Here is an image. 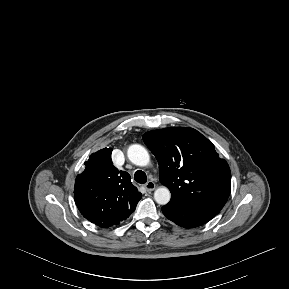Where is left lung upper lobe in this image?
<instances>
[{
	"label": "left lung upper lobe",
	"mask_w": 289,
	"mask_h": 289,
	"mask_svg": "<svg viewBox=\"0 0 289 289\" xmlns=\"http://www.w3.org/2000/svg\"><path fill=\"white\" fill-rule=\"evenodd\" d=\"M159 163L160 182L171 200L190 202L219 213L231 191V172L214 145L189 127H169L143 135Z\"/></svg>",
	"instance_id": "obj_1"
}]
</instances>
